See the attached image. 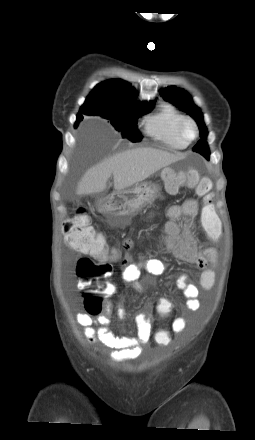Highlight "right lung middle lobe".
<instances>
[{"label":"right lung middle lobe","mask_w":255,"mask_h":440,"mask_svg":"<svg viewBox=\"0 0 255 440\" xmlns=\"http://www.w3.org/2000/svg\"><path fill=\"white\" fill-rule=\"evenodd\" d=\"M153 108L154 102L111 105L86 99L79 111V120L76 125L83 119V114L101 116L108 119L115 129L121 132L123 138H127L132 142H139L142 136L136 126L138 118L150 112Z\"/></svg>","instance_id":"obj_1"}]
</instances>
